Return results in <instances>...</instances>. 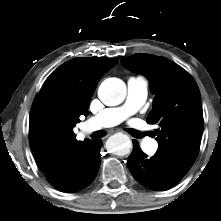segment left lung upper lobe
I'll return each instance as SVG.
<instances>
[{"mask_svg": "<svg viewBox=\"0 0 221 221\" xmlns=\"http://www.w3.org/2000/svg\"><path fill=\"white\" fill-rule=\"evenodd\" d=\"M128 70L144 74L155 94L149 124L159 143L156 156L177 179L195 161L203 132V111L198 86L182 67L164 57L134 54L121 60Z\"/></svg>", "mask_w": 221, "mask_h": 221, "instance_id": "obj_1", "label": "left lung upper lobe"}]
</instances>
